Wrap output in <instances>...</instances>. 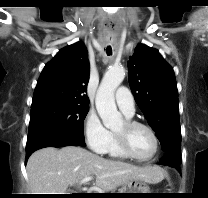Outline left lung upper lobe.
Masks as SVG:
<instances>
[{
	"label": "left lung upper lobe",
	"instance_id": "5c2ea615",
	"mask_svg": "<svg viewBox=\"0 0 208 198\" xmlns=\"http://www.w3.org/2000/svg\"><path fill=\"white\" fill-rule=\"evenodd\" d=\"M129 83L135 101L155 131L165 154L181 161L178 91L173 68L158 50L138 44L129 57Z\"/></svg>",
	"mask_w": 208,
	"mask_h": 198
}]
</instances>
